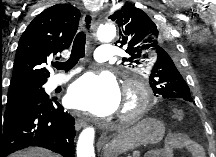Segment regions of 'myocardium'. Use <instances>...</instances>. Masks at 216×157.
<instances>
[{
	"mask_svg": "<svg viewBox=\"0 0 216 157\" xmlns=\"http://www.w3.org/2000/svg\"><path fill=\"white\" fill-rule=\"evenodd\" d=\"M124 101L128 105L121 109L118 117L124 123H133L148 109L150 93L144 83L128 82L124 90Z\"/></svg>",
	"mask_w": 216,
	"mask_h": 157,
	"instance_id": "f54148a6",
	"label": "myocardium"
}]
</instances>
